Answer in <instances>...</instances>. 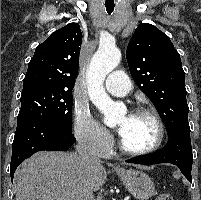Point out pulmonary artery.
Instances as JSON below:
<instances>
[{
  "instance_id": "obj_1",
  "label": "pulmonary artery",
  "mask_w": 201,
  "mask_h": 200,
  "mask_svg": "<svg viewBox=\"0 0 201 200\" xmlns=\"http://www.w3.org/2000/svg\"><path fill=\"white\" fill-rule=\"evenodd\" d=\"M105 88L115 96H126L131 91L132 85L123 72L113 71L106 78Z\"/></svg>"
}]
</instances>
